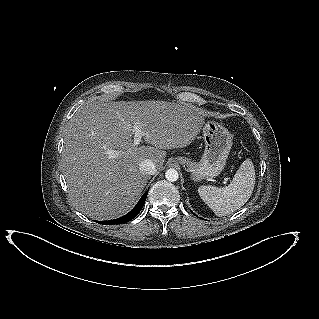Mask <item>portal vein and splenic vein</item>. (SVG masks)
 Segmentation results:
<instances>
[{"label": "portal vein and splenic vein", "instance_id": "obj_1", "mask_svg": "<svg viewBox=\"0 0 319 319\" xmlns=\"http://www.w3.org/2000/svg\"><path fill=\"white\" fill-rule=\"evenodd\" d=\"M133 127V132H134V139H133V146H138L140 144L141 138L144 135L143 131L141 130V126L139 125L138 122L134 123ZM111 155L113 156H117L119 155L118 151H111L110 152ZM227 179H225V183H226Z\"/></svg>", "mask_w": 319, "mask_h": 319}]
</instances>
